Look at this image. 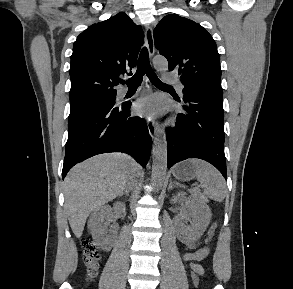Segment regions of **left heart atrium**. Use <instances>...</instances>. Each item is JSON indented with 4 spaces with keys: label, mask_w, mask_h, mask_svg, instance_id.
Wrapping results in <instances>:
<instances>
[{
    "label": "left heart atrium",
    "mask_w": 293,
    "mask_h": 289,
    "mask_svg": "<svg viewBox=\"0 0 293 289\" xmlns=\"http://www.w3.org/2000/svg\"><path fill=\"white\" fill-rule=\"evenodd\" d=\"M162 110V102L156 95H149L136 103V111L139 115L152 117Z\"/></svg>",
    "instance_id": "left-heart-atrium-1"
}]
</instances>
